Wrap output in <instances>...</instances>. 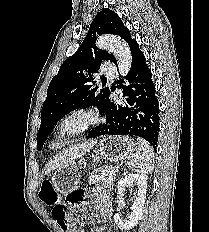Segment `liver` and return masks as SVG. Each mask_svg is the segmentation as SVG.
I'll use <instances>...</instances> for the list:
<instances>
[{
  "label": "liver",
  "mask_w": 209,
  "mask_h": 232,
  "mask_svg": "<svg viewBox=\"0 0 209 232\" xmlns=\"http://www.w3.org/2000/svg\"><path fill=\"white\" fill-rule=\"evenodd\" d=\"M96 144L97 141L85 142L78 145H74L69 149L64 150L62 153H59V155H57L52 161H50L47 164L45 173H49L55 169L72 163L73 161H75V159L82 157Z\"/></svg>",
  "instance_id": "6515ba94"
}]
</instances>
